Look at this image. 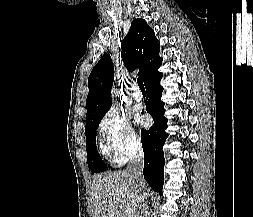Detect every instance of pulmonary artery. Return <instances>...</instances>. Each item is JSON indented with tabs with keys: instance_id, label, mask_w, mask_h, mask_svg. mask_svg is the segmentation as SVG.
Here are the masks:
<instances>
[{
	"instance_id": "1",
	"label": "pulmonary artery",
	"mask_w": 253,
	"mask_h": 217,
	"mask_svg": "<svg viewBox=\"0 0 253 217\" xmlns=\"http://www.w3.org/2000/svg\"><path fill=\"white\" fill-rule=\"evenodd\" d=\"M132 97L136 100V101H141L143 99V94L142 92L138 89L137 85L134 84L132 87Z\"/></svg>"
}]
</instances>
